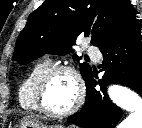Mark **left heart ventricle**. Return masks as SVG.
Listing matches in <instances>:
<instances>
[{
    "instance_id": "obj_1",
    "label": "left heart ventricle",
    "mask_w": 142,
    "mask_h": 128,
    "mask_svg": "<svg viewBox=\"0 0 142 128\" xmlns=\"http://www.w3.org/2000/svg\"><path fill=\"white\" fill-rule=\"evenodd\" d=\"M76 98V86L73 77L67 72L54 74L44 91L43 102L52 112L68 110Z\"/></svg>"
}]
</instances>
